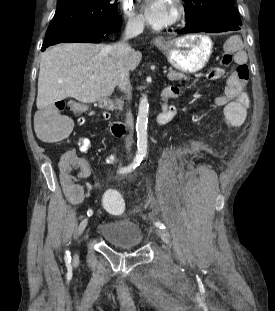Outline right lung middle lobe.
<instances>
[{
	"label": "right lung middle lobe",
	"instance_id": "right-lung-middle-lobe-1",
	"mask_svg": "<svg viewBox=\"0 0 275 311\" xmlns=\"http://www.w3.org/2000/svg\"><path fill=\"white\" fill-rule=\"evenodd\" d=\"M116 14L117 0H58L46 37L63 29L105 22Z\"/></svg>",
	"mask_w": 275,
	"mask_h": 311
}]
</instances>
